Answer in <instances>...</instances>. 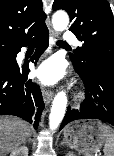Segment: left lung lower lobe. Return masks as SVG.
Wrapping results in <instances>:
<instances>
[{"instance_id":"obj_1","label":"left lung lower lobe","mask_w":114,"mask_h":156,"mask_svg":"<svg viewBox=\"0 0 114 156\" xmlns=\"http://www.w3.org/2000/svg\"><path fill=\"white\" fill-rule=\"evenodd\" d=\"M73 63L87 97L79 110L68 109L60 130L77 119H100L114 125V66L90 60L83 67Z\"/></svg>"}]
</instances>
